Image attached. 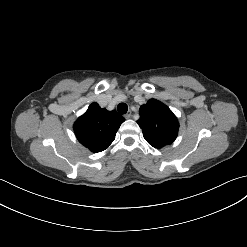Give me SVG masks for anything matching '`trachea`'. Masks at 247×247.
Listing matches in <instances>:
<instances>
[{
	"instance_id": "1",
	"label": "trachea",
	"mask_w": 247,
	"mask_h": 247,
	"mask_svg": "<svg viewBox=\"0 0 247 247\" xmlns=\"http://www.w3.org/2000/svg\"><path fill=\"white\" fill-rule=\"evenodd\" d=\"M117 110H118L119 113L125 114V113L128 111V106H127V104H125V103H120V104L117 106Z\"/></svg>"
}]
</instances>
